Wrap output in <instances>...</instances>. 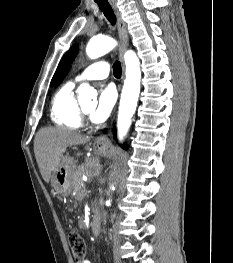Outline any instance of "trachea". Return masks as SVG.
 Segmentation results:
<instances>
[{
    "label": "trachea",
    "mask_w": 233,
    "mask_h": 263,
    "mask_svg": "<svg viewBox=\"0 0 233 263\" xmlns=\"http://www.w3.org/2000/svg\"><path fill=\"white\" fill-rule=\"evenodd\" d=\"M95 2L98 4L99 8L104 13V15L109 20V22L112 25H114L116 23V17L108 1L107 0H95ZM113 74L117 78L121 77L122 68L118 61H116L113 65Z\"/></svg>",
    "instance_id": "obj_1"
}]
</instances>
